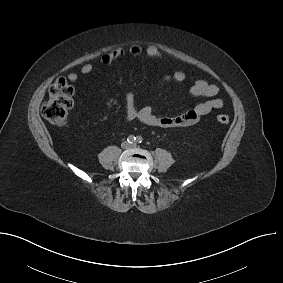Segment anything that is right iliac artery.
<instances>
[{
	"label": "right iliac artery",
	"instance_id": "82829eb1",
	"mask_svg": "<svg viewBox=\"0 0 283 283\" xmlns=\"http://www.w3.org/2000/svg\"><path fill=\"white\" fill-rule=\"evenodd\" d=\"M127 141L132 144L136 141V137L134 135H130L128 138H127Z\"/></svg>",
	"mask_w": 283,
	"mask_h": 283
}]
</instances>
